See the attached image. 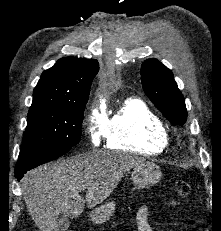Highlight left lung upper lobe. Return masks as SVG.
<instances>
[{
  "label": "left lung upper lobe",
  "instance_id": "left-lung-upper-lobe-1",
  "mask_svg": "<svg viewBox=\"0 0 221 231\" xmlns=\"http://www.w3.org/2000/svg\"><path fill=\"white\" fill-rule=\"evenodd\" d=\"M143 89L152 103L173 125L187 120L185 100L172 72L156 59H148L141 67Z\"/></svg>",
  "mask_w": 221,
  "mask_h": 231
}]
</instances>
